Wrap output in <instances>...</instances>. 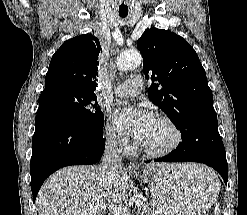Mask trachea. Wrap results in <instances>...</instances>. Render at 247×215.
I'll use <instances>...</instances> for the list:
<instances>
[{
	"label": "trachea",
	"instance_id": "3493384b",
	"mask_svg": "<svg viewBox=\"0 0 247 215\" xmlns=\"http://www.w3.org/2000/svg\"><path fill=\"white\" fill-rule=\"evenodd\" d=\"M121 17H126L127 16V14H119Z\"/></svg>",
	"mask_w": 247,
	"mask_h": 215
}]
</instances>
